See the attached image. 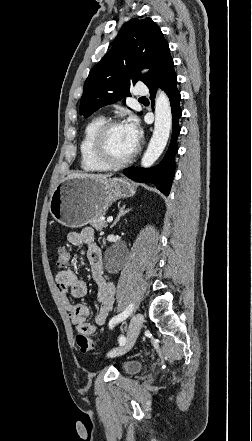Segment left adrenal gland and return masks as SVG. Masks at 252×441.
<instances>
[{
	"label": "left adrenal gland",
	"instance_id": "a2214340",
	"mask_svg": "<svg viewBox=\"0 0 252 441\" xmlns=\"http://www.w3.org/2000/svg\"><path fill=\"white\" fill-rule=\"evenodd\" d=\"M130 211V209L125 210V205H123L120 210L119 213L115 219V221L113 222V224L110 226V228H113L120 220V218L124 215H126L128 212Z\"/></svg>",
	"mask_w": 252,
	"mask_h": 441
}]
</instances>
